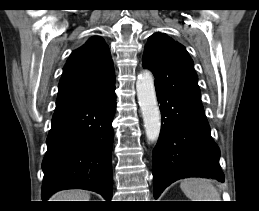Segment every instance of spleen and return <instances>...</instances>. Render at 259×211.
<instances>
[{"label":"spleen","instance_id":"1","mask_svg":"<svg viewBox=\"0 0 259 211\" xmlns=\"http://www.w3.org/2000/svg\"><path fill=\"white\" fill-rule=\"evenodd\" d=\"M180 188L190 201H221L218 189L209 179L187 178L181 181Z\"/></svg>","mask_w":259,"mask_h":211}]
</instances>
